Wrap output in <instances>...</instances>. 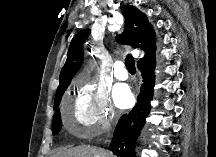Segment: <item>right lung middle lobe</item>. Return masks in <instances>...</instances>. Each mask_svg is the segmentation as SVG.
I'll list each match as a JSON object with an SVG mask.
<instances>
[{
  "label": "right lung middle lobe",
  "instance_id": "dd1d6c3e",
  "mask_svg": "<svg viewBox=\"0 0 216 157\" xmlns=\"http://www.w3.org/2000/svg\"><path fill=\"white\" fill-rule=\"evenodd\" d=\"M66 88L63 89L56 97H55V102H54V110H56L55 115H54V119H53V135H56L61 127H62V122H61V115H60V111L58 109V106L60 104L61 101V97L64 94Z\"/></svg>",
  "mask_w": 216,
  "mask_h": 157
}]
</instances>
